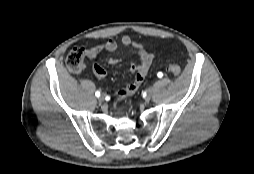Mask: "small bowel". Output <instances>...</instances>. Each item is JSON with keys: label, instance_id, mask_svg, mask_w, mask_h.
<instances>
[{"label": "small bowel", "instance_id": "1", "mask_svg": "<svg viewBox=\"0 0 254 174\" xmlns=\"http://www.w3.org/2000/svg\"><path fill=\"white\" fill-rule=\"evenodd\" d=\"M119 47L133 48L139 57V61L132 62L130 64V71L134 74V78L128 85H126L125 87L117 91L115 95V100L117 102L133 95L138 90L145 76L147 75L153 60L152 54L149 53L142 44L134 41L130 36H127V35L123 36L119 42H117L116 40L110 39L101 44L90 47L87 49L86 53L88 58L93 59L101 52H114ZM120 62L121 60L119 58H114V57L109 58L108 60V63L110 65H116ZM92 69H93L94 75L96 76L98 80H103L105 78L106 71L101 65L95 63Z\"/></svg>", "mask_w": 254, "mask_h": 174}]
</instances>
